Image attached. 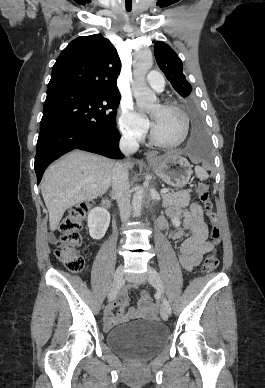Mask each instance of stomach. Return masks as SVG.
<instances>
[{
    "label": "stomach",
    "instance_id": "obj_1",
    "mask_svg": "<svg viewBox=\"0 0 265 388\" xmlns=\"http://www.w3.org/2000/svg\"><path fill=\"white\" fill-rule=\"evenodd\" d=\"M148 164L163 182L175 188L185 186L192 174L187 159L176 153L149 158Z\"/></svg>",
    "mask_w": 265,
    "mask_h": 388
}]
</instances>
